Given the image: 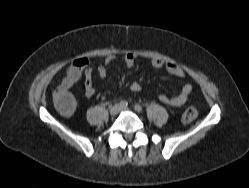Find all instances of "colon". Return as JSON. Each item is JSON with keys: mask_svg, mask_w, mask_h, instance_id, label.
<instances>
[{"mask_svg": "<svg viewBox=\"0 0 249 188\" xmlns=\"http://www.w3.org/2000/svg\"><path fill=\"white\" fill-rule=\"evenodd\" d=\"M52 102L56 110L63 116H72L77 109V103L68 90L56 88L52 94ZM198 112L195 107H188L182 114V121L190 123L196 119Z\"/></svg>", "mask_w": 249, "mask_h": 188, "instance_id": "colon-1", "label": "colon"}]
</instances>
